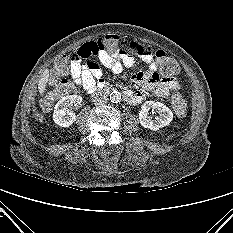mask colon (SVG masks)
Segmentation results:
<instances>
[{
    "label": "colon",
    "mask_w": 233,
    "mask_h": 233,
    "mask_svg": "<svg viewBox=\"0 0 233 233\" xmlns=\"http://www.w3.org/2000/svg\"><path fill=\"white\" fill-rule=\"evenodd\" d=\"M122 40L116 35H107L100 38L96 44H90L86 48V56L89 58L94 55L97 50H106L109 52L116 51L122 47ZM127 48H131V43H126ZM149 51H152L154 58L156 59L159 70L164 76H172L179 71V65L177 61L169 56L162 50L153 51L150 47L145 46ZM67 70V59L65 57H59L55 63V67L50 75L51 80L55 83V87L48 93L46 98V104L51 105L52 102L73 91L74 85L72 82L63 77ZM171 105L175 114L179 118H184L187 115V103L185 99L179 93H174L171 96Z\"/></svg>",
    "instance_id": "1"
}]
</instances>
